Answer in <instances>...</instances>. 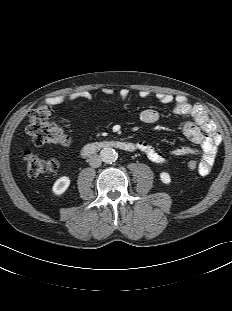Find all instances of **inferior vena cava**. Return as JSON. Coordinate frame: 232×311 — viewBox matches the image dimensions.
I'll return each mask as SVG.
<instances>
[{
    "instance_id": "inferior-vena-cava-1",
    "label": "inferior vena cava",
    "mask_w": 232,
    "mask_h": 311,
    "mask_svg": "<svg viewBox=\"0 0 232 311\" xmlns=\"http://www.w3.org/2000/svg\"><path fill=\"white\" fill-rule=\"evenodd\" d=\"M102 164V158L99 155H93L89 159V165L93 168H97L101 166Z\"/></svg>"
}]
</instances>
